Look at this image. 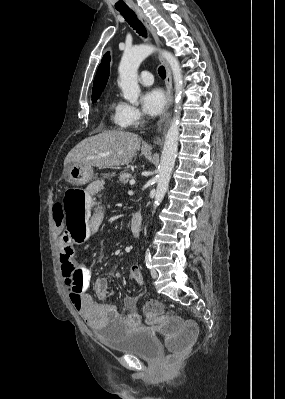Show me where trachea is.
Instances as JSON below:
<instances>
[{
	"mask_svg": "<svg viewBox=\"0 0 285 399\" xmlns=\"http://www.w3.org/2000/svg\"><path fill=\"white\" fill-rule=\"evenodd\" d=\"M120 14L125 18V20L128 22V24L136 30V32L143 37L147 36V31L142 22L137 18L135 12L131 9H125V10H118ZM158 73L161 78L165 79L166 77V71L163 66H160L158 69Z\"/></svg>",
	"mask_w": 285,
	"mask_h": 399,
	"instance_id": "obj_1",
	"label": "trachea"
}]
</instances>
